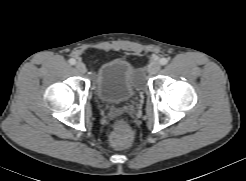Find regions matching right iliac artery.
Here are the masks:
<instances>
[{
	"label": "right iliac artery",
	"instance_id": "obj_1",
	"mask_svg": "<svg viewBox=\"0 0 246 181\" xmlns=\"http://www.w3.org/2000/svg\"><path fill=\"white\" fill-rule=\"evenodd\" d=\"M68 62H69V64H71V65H75V64H76V60L73 59V58L69 59Z\"/></svg>",
	"mask_w": 246,
	"mask_h": 181
}]
</instances>
